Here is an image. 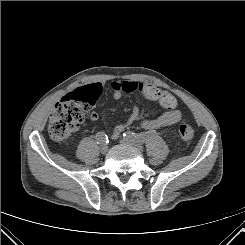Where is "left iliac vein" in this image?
Returning <instances> with one entry per match:
<instances>
[{
    "instance_id": "1",
    "label": "left iliac vein",
    "mask_w": 245,
    "mask_h": 245,
    "mask_svg": "<svg viewBox=\"0 0 245 245\" xmlns=\"http://www.w3.org/2000/svg\"><path fill=\"white\" fill-rule=\"evenodd\" d=\"M121 142L126 143L128 145H131V146H133L134 148H136L139 151L143 150V146L140 143L133 142V141H130V140H122Z\"/></svg>"
}]
</instances>
